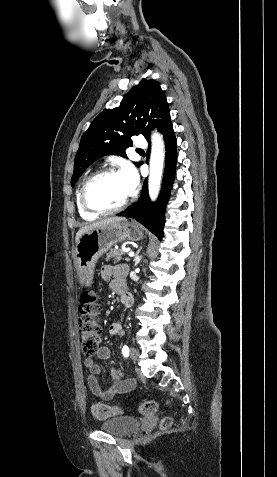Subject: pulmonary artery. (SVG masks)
<instances>
[{"mask_svg": "<svg viewBox=\"0 0 277 477\" xmlns=\"http://www.w3.org/2000/svg\"><path fill=\"white\" fill-rule=\"evenodd\" d=\"M135 146L136 148L138 149H143L147 146V143L144 139H137L136 142H135Z\"/></svg>", "mask_w": 277, "mask_h": 477, "instance_id": "pulmonary-artery-1", "label": "pulmonary artery"}]
</instances>
